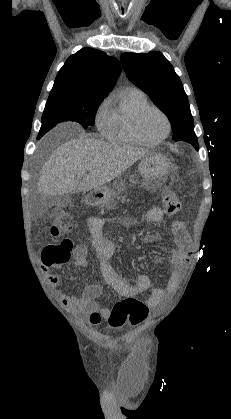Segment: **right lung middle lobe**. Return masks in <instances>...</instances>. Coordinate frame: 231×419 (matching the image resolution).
I'll use <instances>...</instances> for the list:
<instances>
[{
  "label": "right lung middle lobe",
  "instance_id": "dd1d6c3e",
  "mask_svg": "<svg viewBox=\"0 0 231 419\" xmlns=\"http://www.w3.org/2000/svg\"><path fill=\"white\" fill-rule=\"evenodd\" d=\"M102 101L103 98L76 97L67 91H51L37 139L64 121H76L85 129L87 126H93L95 114Z\"/></svg>",
  "mask_w": 231,
  "mask_h": 419
}]
</instances>
